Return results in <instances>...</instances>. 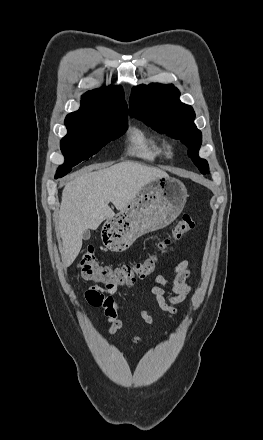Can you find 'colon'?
Returning <instances> with one entry per match:
<instances>
[{"instance_id": "obj_1", "label": "colon", "mask_w": 263, "mask_h": 440, "mask_svg": "<svg viewBox=\"0 0 263 440\" xmlns=\"http://www.w3.org/2000/svg\"><path fill=\"white\" fill-rule=\"evenodd\" d=\"M194 227V219L188 214L183 215L174 224L170 236L158 244V249L163 251L172 243L181 241ZM157 265L158 258L156 255H150L140 261L118 266L101 264L92 246L83 252L78 263L84 279L100 283L108 288L131 286L152 274L156 270Z\"/></svg>"}]
</instances>
